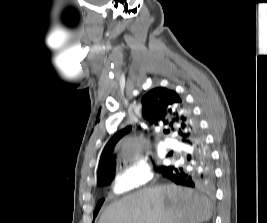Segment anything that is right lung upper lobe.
Segmentation results:
<instances>
[{
    "label": "right lung upper lobe",
    "mask_w": 267,
    "mask_h": 223,
    "mask_svg": "<svg viewBox=\"0 0 267 223\" xmlns=\"http://www.w3.org/2000/svg\"><path fill=\"white\" fill-rule=\"evenodd\" d=\"M141 103L143 116L151 125L168 126L183 142L194 134V126L197 123L175 91L164 87L154 88L143 96ZM130 131L131 126L121 130L106 144L99 162L98 179L108 169L116 167V159L112 156L113 148Z\"/></svg>",
    "instance_id": "obj_1"
}]
</instances>
